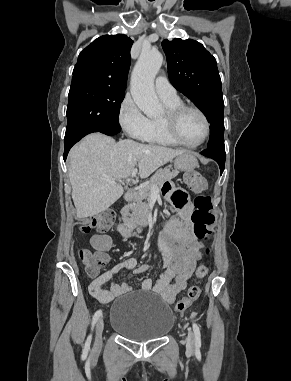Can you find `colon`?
I'll return each instance as SVG.
<instances>
[{
  "mask_svg": "<svg viewBox=\"0 0 291 381\" xmlns=\"http://www.w3.org/2000/svg\"><path fill=\"white\" fill-rule=\"evenodd\" d=\"M185 182L188 186L198 193L195 199V210L192 213V222L194 234L197 238L209 241L212 236V226L214 223V215L212 213L211 198L204 194L206 190V181L199 173H190L186 175ZM178 204H183L184 199H179ZM115 220V215L112 211L106 210L97 215L89 217L79 226V233L87 234L92 230L98 233H104L112 226ZM208 249L205 254H208ZM79 257L85 265L86 272L89 276L98 275L100 269L104 267L108 261V255L104 252L92 253L87 249L79 250ZM208 273V266L206 263L198 265L195 275L197 278L202 279ZM201 289L199 286H191L187 294L178 300L175 304V311L182 313L199 297Z\"/></svg>",
  "mask_w": 291,
  "mask_h": 381,
  "instance_id": "5ec220e1",
  "label": "colon"
}]
</instances>
